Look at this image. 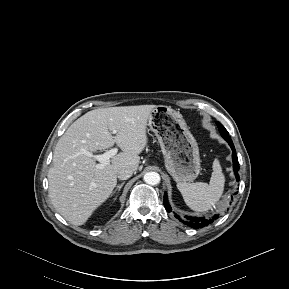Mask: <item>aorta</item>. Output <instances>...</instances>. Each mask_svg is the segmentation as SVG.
Returning <instances> with one entry per match:
<instances>
[{
	"mask_svg": "<svg viewBox=\"0 0 289 289\" xmlns=\"http://www.w3.org/2000/svg\"><path fill=\"white\" fill-rule=\"evenodd\" d=\"M144 181L149 185H157L160 182V175L157 172H148L144 175Z\"/></svg>",
	"mask_w": 289,
	"mask_h": 289,
	"instance_id": "1",
	"label": "aorta"
}]
</instances>
